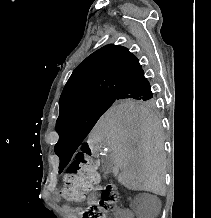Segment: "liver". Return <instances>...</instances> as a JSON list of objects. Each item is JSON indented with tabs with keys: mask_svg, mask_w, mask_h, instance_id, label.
Here are the masks:
<instances>
[{
	"mask_svg": "<svg viewBox=\"0 0 211 218\" xmlns=\"http://www.w3.org/2000/svg\"><path fill=\"white\" fill-rule=\"evenodd\" d=\"M88 142L97 148L107 146L112 152L113 172L122 186L165 196L164 140L151 110L112 106L97 122Z\"/></svg>",
	"mask_w": 211,
	"mask_h": 218,
	"instance_id": "liver-1",
	"label": "liver"
}]
</instances>
